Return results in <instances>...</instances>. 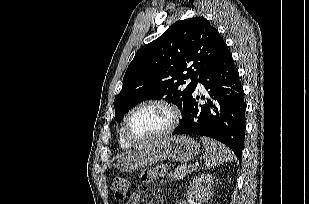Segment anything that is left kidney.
<instances>
[{"label":"left kidney","instance_id":"left-kidney-1","mask_svg":"<svg viewBox=\"0 0 309 204\" xmlns=\"http://www.w3.org/2000/svg\"><path fill=\"white\" fill-rule=\"evenodd\" d=\"M214 177L210 174H200L190 184L187 194L190 198L207 202L212 195Z\"/></svg>","mask_w":309,"mask_h":204}]
</instances>
